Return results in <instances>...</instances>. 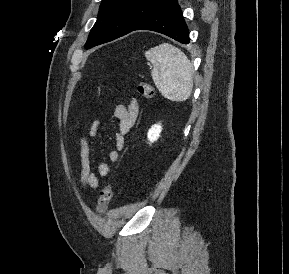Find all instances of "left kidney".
Segmentation results:
<instances>
[{
    "label": "left kidney",
    "instance_id": "left-kidney-1",
    "mask_svg": "<svg viewBox=\"0 0 289 274\" xmlns=\"http://www.w3.org/2000/svg\"><path fill=\"white\" fill-rule=\"evenodd\" d=\"M161 130H162V127H161L160 124H155V125H153V126L149 129V131H148V133H147V138H148V140H149L151 143H153L154 141H156V140L159 138V136H160Z\"/></svg>",
    "mask_w": 289,
    "mask_h": 274
}]
</instances>
